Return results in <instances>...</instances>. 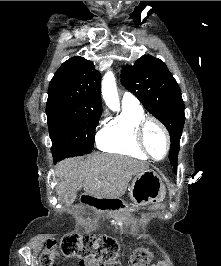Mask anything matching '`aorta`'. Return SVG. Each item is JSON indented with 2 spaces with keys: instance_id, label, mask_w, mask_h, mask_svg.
Listing matches in <instances>:
<instances>
[{
  "instance_id": "obj_1",
  "label": "aorta",
  "mask_w": 221,
  "mask_h": 266,
  "mask_svg": "<svg viewBox=\"0 0 221 266\" xmlns=\"http://www.w3.org/2000/svg\"><path fill=\"white\" fill-rule=\"evenodd\" d=\"M102 97L106 105L113 111H118L120 108V101L116 86L114 74L108 71L102 80L101 86Z\"/></svg>"
}]
</instances>
